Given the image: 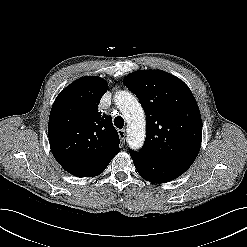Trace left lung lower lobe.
<instances>
[{"instance_id":"obj_1","label":"left lung lower lobe","mask_w":247,"mask_h":247,"mask_svg":"<svg viewBox=\"0 0 247 247\" xmlns=\"http://www.w3.org/2000/svg\"><path fill=\"white\" fill-rule=\"evenodd\" d=\"M130 155L138 173L153 183H165L179 177L189 165L161 161L140 152L130 150Z\"/></svg>"}]
</instances>
